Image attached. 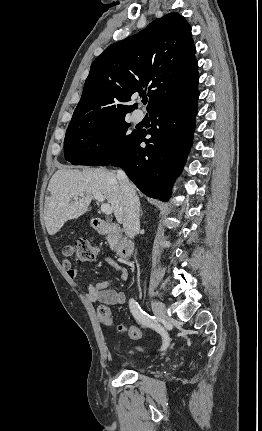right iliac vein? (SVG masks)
I'll use <instances>...</instances> for the list:
<instances>
[{"mask_svg":"<svg viewBox=\"0 0 262 431\" xmlns=\"http://www.w3.org/2000/svg\"><path fill=\"white\" fill-rule=\"evenodd\" d=\"M151 307L153 312L160 318L165 319L167 317V309L165 304L160 301H152Z\"/></svg>","mask_w":262,"mask_h":431,"instance_id":"1","label":"right iliac vein"}]
</instances>
